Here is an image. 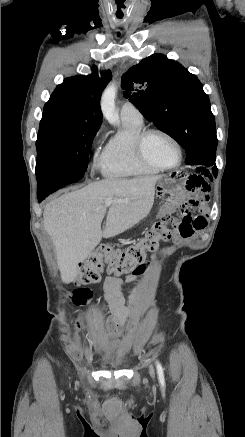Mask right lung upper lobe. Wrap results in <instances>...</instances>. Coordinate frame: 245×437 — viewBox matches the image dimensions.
Returning <instances> with one entry per match:
<instances>
[{
  "label": "right lung upper lobe",
  "instance_id": "right-lung-upper-lobe-1",
  "mask_svg": "<svg viewBox=\"0 0 245 437\" xmlns=\"http://www.w3.org/2000/svg\"><path fill=\"white\" fill-rule=\"evenodd\" d=\"M110 71L101 73L93 68L89 76H75L64 79L45 104L44 110H57L89 122H102L100 98L110 81Z\"/></svg>",
  "mask_w": 245,
  "mask_h": 437
}]
</instances>
